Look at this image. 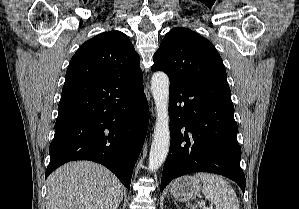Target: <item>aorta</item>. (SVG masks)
<instances>
[{"label":"aorta","instance_id":"aorta-1","mask_svg":"<svg viewBox=\"0 0 299 209\" xmlns=\"http://www.w3.org/2000/svg\"><path fill=\"white\" fill-rule=\"evenodd\" d=\"M151 92L155 102L157 118L149 154L148 169L155 172L165 162L170 145L169 78L166 73L158 71L152 75Z\"/></svg>","mask_w":299,"mask_h":209}]
</instances>
